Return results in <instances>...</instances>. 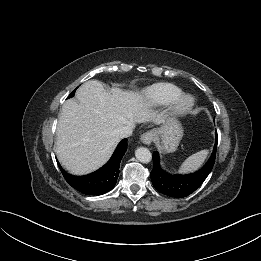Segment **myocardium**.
I'll return each mask as SVG.
<instances>
[{
    "label": "myocardium",
    "mask_w": 261,
    "mask_h": 261,
    "mask_svg": "<svg viewBox=\"0 0 261 261\" xmlns=\"http://www.w3.org/2000/svg\"><path fill=\"white\" fill-rule=\"evenodd\" d=\"M196 105V99L192 94L182 93L170 105V114L175 117L184 116Z\"/></svg>",
    "instance_id": "1"
}]
</instances>
